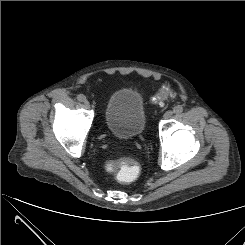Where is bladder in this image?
I'll use <instances>...</instances> for the list:
<instances>
[{"mask_svg": "<svg viewBox=\"0 0 245 245\" xmlns=\"http://www.w3.org/2000/svg\"><path fill=\"white\" fill-rule=\"evenodd\" d=\"M103 118L107 130L119 138L141 135L147 122L141 94L132 88L116 90L106 103Z\"/></svg>", "mask_w": 245, "mask_h": 245, "instance_id": "1", "label": "bladder"}]
</instances>
